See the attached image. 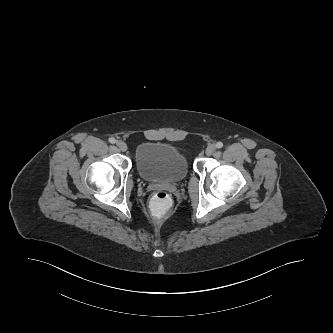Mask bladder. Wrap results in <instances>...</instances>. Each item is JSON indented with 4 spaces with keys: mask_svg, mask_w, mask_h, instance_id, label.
Masks as SVG:
<instances>
[{
    "mask_svg": "<svg viewBox=\"0 0 333 333\" xmlns=\"http://www.w3.org/2000/svg\"><path fill=\"white\" fill-rule=\"evenodd\" d=\"M134 162L139 176L150 182L176 183L188 173V162L178 149L157 142L137 146Z\"/></svg>",
    "mask_w": 333,
    "mask_h": 333,
    "instance_id": "1",
    "label": "bladder"
}]
</instances>
